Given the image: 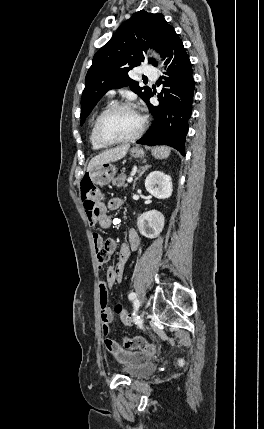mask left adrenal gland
Instances as JSON below:
<instances>
[{
    "label": "left adrenal gland",
    "mask_w": 264,
    "mask_h": 429,
    "mask_svg": "<svg viewBox=\"0 0 264 429\" xmlns=\"http://www.w3.org/2000/svg\"><path fill=\"white\" fill-rule=\"evenodd\" d=\"M151 167V165H144V166H142V167H140L139 168V170H138V176L135 178V180H134V183H133V190L135 189V186H136V182H137V180L144 174V172L148 169V168H150Z\"/></svg>",
    "instance_id": "1"
}]
</instances>
